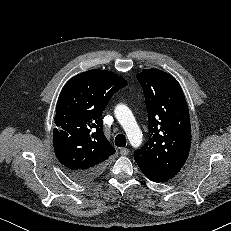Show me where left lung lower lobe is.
Segmentation results:
<instances>
[{"instance_id": "1", "label": "left lung lower lobe", "mask_w": 231, "mask_h": 231, "mask_svg": "<svg viewBox=\"0 0 231 231\" xmlns=\"http://www.w3.org/2000/svg\"><path fill=\"white\" fill-rule=\"evenodd\" d=\"M134 159H135L136 163L138 164L139 168L141 169V171L143 172V174L153 182H156V183L165 182V181H167V180H169L175 176L172 174H166V173L160 172L158 170H155L154 168H152L151 166H149L145 162H143L137 158H134Z\"/></svg>"}]
</instances>
